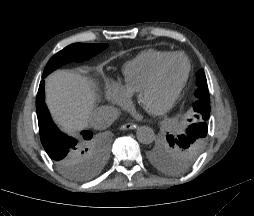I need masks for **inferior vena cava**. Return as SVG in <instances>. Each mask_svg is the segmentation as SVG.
<instances>
[{
    "mask_svg": "<svg viewBox=\"0 0 254 216\" xmlns=\"http://www.w3.org/2000/svg\"><path fill=\"white\" fill-rule=\"evenodd\" d=\"M120 113L117 108L111 106L97 107L89 117V124L97 130H103L109 127Z\"/></svg>",
    "mask_w": 254,
    "mask_h": 216,
    "instance_id": "602c4592",
    "label": "inferior vena cava"
}]
</instances>
